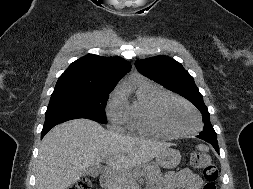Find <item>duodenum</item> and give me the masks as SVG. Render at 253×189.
Segmentation results:
<instances>
[{"label": "duodenum", "mask_w": 253, "mask_h": 189, "mask_svg": "<svg viewBox=\"0 0 253 189\" xmlns=\"http://www.w3.org/2000/svg\"><path fill=\"white\" fill-rule=\"evenodd\" d=\"M100 183L104 189H110L113 183V174L111 172H104L100 178Z\"/></svg>", "instance_id": "1"}]
</instances>
